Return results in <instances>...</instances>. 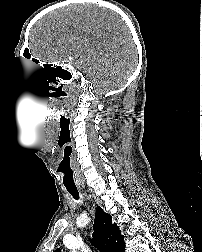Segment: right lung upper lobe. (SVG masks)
Segmentation results:
<instances>
[{"instance_id":"right-lung-upper-lobe-1","label":"right lung upper lobe","mask_w":202,"mask_h":252,"mask_svg":"<svg viewBox=\"0 0 202 252\" xmlns=\"http://www.w3.org/2000/svg\"><path fill=\"white\" fill-rule=\"evenodd\" d=\"M93 244L102 252H123L124 236L116 224H112L111 215L105 213L100 207L96 209L93 225ZM55 252H60L57 249Z\"/></svg>"}]
</instances>
